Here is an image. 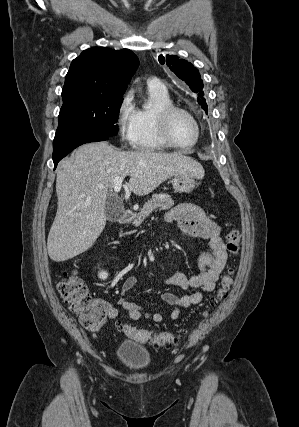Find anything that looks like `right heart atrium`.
Masks as SVG:
<instances>
[{
    "mask_svg": "<svg viewBox=\"0 0 299 427\" xmlns=\"http://www.w3.org/2000/svg\"><path fill=\"white\" fill-rule=\"evenodd\" d=\"M116 125L121 141L127 145H134L137 133V108L131 92H126L119 101Z\"/></svg>",
    "mask_w": 299,
    "mask_h": 427,
    "instance_id": "d8ad5b80",
    "label": "right heart atrium"
}]
</instances>
